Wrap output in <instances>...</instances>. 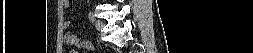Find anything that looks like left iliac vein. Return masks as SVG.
<instances>
[{"label":"left iliac vein","mask_w":253,"mask_h":53,"mask_svg":"<svg viewBox=\"0 0 253 53\" xmlns=\"http://www.w3.org/2000/svg\"><path fill=\"white\" fill-rule=\"evenodd\" d=\"M95 27L100 30L103 27V22L101 20L95 21Z\"/></svg>","instance_id":"1"}]
</instances>
